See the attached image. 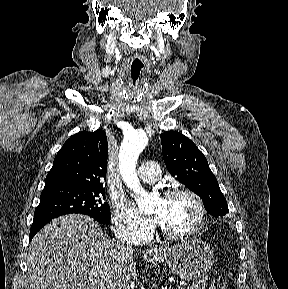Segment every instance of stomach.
Instances as JSON below:
<instances>
[{
	"mask_svg": "<svg viewBox=\"0 0 288 289\" xmlns=\"http://www.w3.org/2000/svg\"><path fill=\"white\" fill-rule=\"evenodd\" d=\"M213 263V251L200 239H191L174 246L167 260L172 272L185 280L203 277L209 272Z\"/></svg>",
	"mask_w": 288,
	"mask_h": 289,
	"instance_id": "obj_1",
	"label": "stomach"
}]
</instances>
